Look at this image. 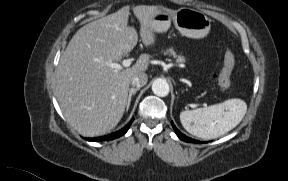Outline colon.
<instances>
[{"mask_svg":"<svg viewBox=\"0 0 288 181\" xmlns=\"http://www.w3.org/2000/svg\"><path fill=\"white\" fill-rule=\"evenodd\" d=\"M235 68V57L230 51H226L223 57V65L217 76V81L222 91H226L231 86V76Z\"/></svg>","mask_w":288,"mask_h":181,"instance_id":"1","label":"colon"}]
</instances>
